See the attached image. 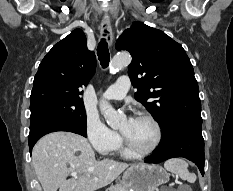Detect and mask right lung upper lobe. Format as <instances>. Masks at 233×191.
<instances>
[{
    "instance_id": "cb5924a9",
    "label": "right lung upper lobe",
    "mask_w": 233,
    "mask_h": 191,
    "mask_svg": "<svg viewBox=\"0 0 233 191\" xmlns=\"http://www.w3.org/2000/svg\"><path fill=\"white\" fill-rule=\"evenodd\" d=\"M96 68L93 51L81 29L73 30L46 54L35 75L30 100L55 95L81 101L80 87L86 86Z\"/></svg>"
}]
</instances>
